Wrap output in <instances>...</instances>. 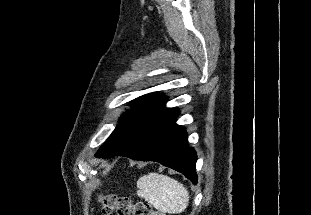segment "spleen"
<instances>
[{
	"label": "spleen",
	"instance_id": "obj_1",
	"mask_svg": "<svg viewBox=\"0 0 311 215\" xmlns=\"http://www.w3.org/2000/svg\"><path fill=\"white\" fill-rule=\"evenodd\" d=\"M137 195L163 213L178 214L189 203V192L183 184L163 174L149 173L137 181Z\"/></svg>",
	"mask_w": 311,
	"mask_h": 215
}]
</instances>
